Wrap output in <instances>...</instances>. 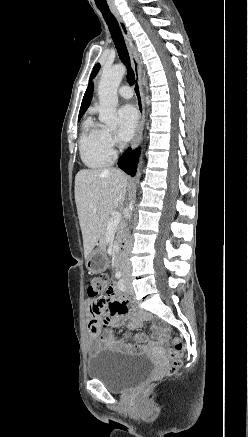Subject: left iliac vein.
Wrapping results in <instances>:
<instances>
[{
    "instance_id": "obj_1",
    "label": "left iliac vein",
    "mask_w": 248,
    "mask_h": 437,
    "mask_svg": "<svg viewBox=\"0 0 248 437\" xmlns=\"http://www.w3.org/2000/svg\"><path fill=\"white\" fill-rule=\"evenodd\" d=\"M125 284H126L128 293L129 294H134L133 286L131 284V281L128 278L125 280Z\"/></svg>"
}]
</instances>
